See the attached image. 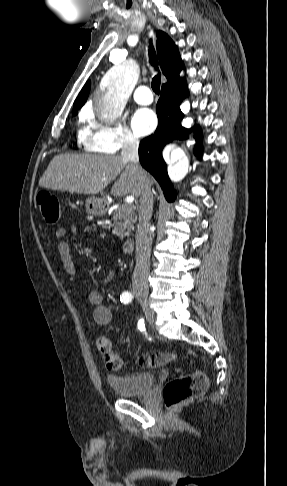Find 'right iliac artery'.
<instances>
[{
    "instance_id": "right-iliac-artery-1",
    "label": "right iliac artery",
    "mask_w": 287,
    "mask_h": 486,
    "mask_svg": "<svg viewBox=\"0 0 287 486\" xmlns=\"http://www.w3.org/2000/svg\"><path fill=\"white\" fill-rule=\"evenodd\" d=\"M132 299H133V295L128 291L123 292L120 297L121 302L125 304L127 303V301L130 302ZM138 328L140 329V331H145V324L142 318L139 320Z\"/></svg>"
}]
</instances>
